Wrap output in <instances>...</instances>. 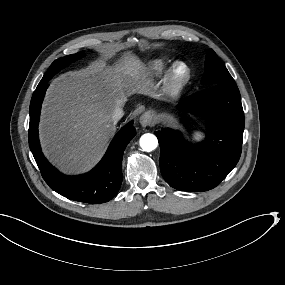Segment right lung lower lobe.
Listing matches in <instances>:
<instances>
[{
	"instance_id": "1",
	"label": "right lung lower lobe",
	"mask_w": 285,
	"mask_h": 285,
	"mask_svg": "<svg viewBox=\"0 0 285 285\" xmlns=\"http://www.w3.org/2000/svg\"><path fill=\"white\" fill-rule=\"evenodd\" d=\"M49 84H39L30 103L29 146L45 182L58 194L74 201L99 204L117 195L122 183L123 152L136 135L133 121L112 140L106 154L90 172L78 176L60 173L44 157L38 138L41 105Z\"/></svg>"
}]
</instances>
